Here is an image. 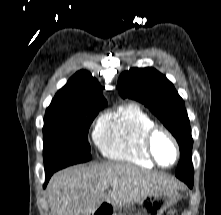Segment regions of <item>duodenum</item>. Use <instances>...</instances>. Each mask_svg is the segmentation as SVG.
Instances as JSON below:
<instances>
[{
	"mask_svg": "<svg viewBox=\"0 0 221 215\" xmlns=\"http://www.w3.org/2000/svg\"><path fill=\"white\" fill-rule=\"evenodd\" d=\"M112 207L108 204H102L93 215H111Z\"/></svg>",
	"mask_w": 221,
	"mask_h": 215,
	"instance_id": "obj_1",
	"label": "duodenum"
}]
</instances>
